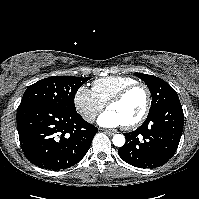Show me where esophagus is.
Segmentation results:
<instances>
[{"instance_id":"esophagus-1","label":"esophagus","mask_w":199,"mask_h":199,"mask_svg":"<svg viewBox=\"0 0 199 199\" xmlns=\"http://www.w3.org/2000/svg\"><path fill=\"white\" fill-rule=\"evenodd\" d=\"M104 132L111 136L115 134V132L113 130H108V129H104Z\"/></svg>"}]
</instances>
